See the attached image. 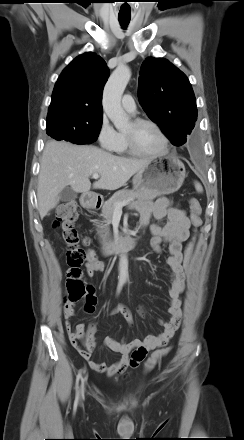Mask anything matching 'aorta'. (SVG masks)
I'll return each mask as SVG.
<instances>
[{
    "label": "aorta",
    "instance_id": "aorta-1",
    "mask_svg": "<svg viewBox=\"0 0 244 440\" xmlns=\"http://www.w3.org/2000/svg\"><path fill=\"white\" fill-rule=\"evenodd\" d=\"M129 67L118 66L109 77L103 92V109L116 129L121 130L127 126L128 117L121 106L123 92L130 80ZM119 279H128V257L126 253L120 255Z\"/></svg>",
    "mask_w": 244,
    "mask_h": 440
}]
</instances>
